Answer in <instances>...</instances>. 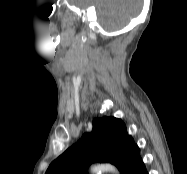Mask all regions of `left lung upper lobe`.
<instances>
[{"mask_svg":"<svg viewBox=\"0 0 187 174\" xmlns=\"http://www.w3.org/2000/svg\"><path fill=\"white\" fill-rule=\"evenodd\" d=\"M94 161L110 162L121 174H130L142 162L139 147L120 119H94L92 132L54 160L45 174H88L87 168Z\"/></svg>","mask_w":187,"mask_h":174,"instance_id":"1","label":"left lung upper lobe"}]
</instances>
